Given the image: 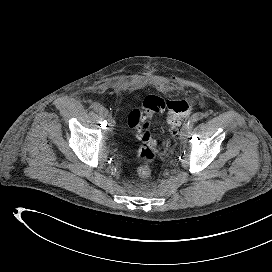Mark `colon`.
<instances>
[{
    "label": "colon",
    "mask_w": 272,
    "mask_h": 272,
    "mask_svg": "<svg viewBox=\"0 0 272 272\" xmlns=\"http://www.w3.org/2000/svg\"><path fill=\"white\" fill-rule=\"evenodd\" d=\"M193 100L189 96L177 99H164L159 96H147L141 106L134 108L128 116L129 127L141 141L135 159L138 162V174L148 177L151 163L157 157L158 147L150 133L151 119L155 114L165 112L168 125L173 134L177 132L183 117L189 114ZM168 142L165 143L167 145Z\"/></svg>",
    "instance_id": "obj_1"
}]
</instances>
